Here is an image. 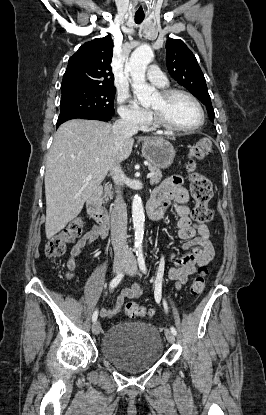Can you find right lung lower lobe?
I'll return each mask as SVG.
<instances>
[{"label": "right lung lower lobe", "mask_w": 266, "mask_h": 415, "mask_svg": "<svg viewBox=\"0 0 266 415\" xmlns=\"http://www.w3.org/2000/svg\"><path fill=\"white\" fill-rule=\"evenodd\" d=\"M111 115H105L100 113H85V112H63L60 113L58 120H57V128L64 122L82 118V119H90V120H101V121H109L111 120Z\"/></svg>", "instance_id": "1"}]
</instances>
